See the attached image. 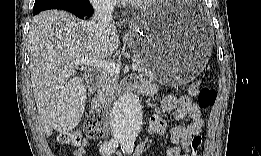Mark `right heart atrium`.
Segmentation results:
<instances>
[{
  "instance_id": "1",
  "label": "right heart atrium",
  "mask_w": 261,
  "mask_h": 156,
  "mask_svg": "<svg viewBox=\"0 0 261 156\" xmlns=\"http://www.w3.org/2000/svg\"><path fill=\"white\" fill-rule=\"evenodd\" d=\"M103 6H104V7H108V6H110V4H103Z\"/></svg>"
}]
</instances>
